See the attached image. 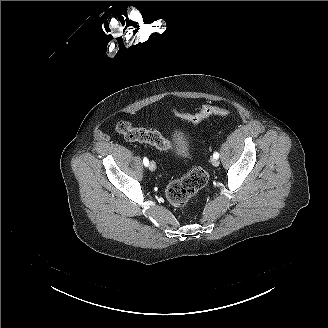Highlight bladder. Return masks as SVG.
<instances>
[{
  "instance_id": "bladder-1",
  "label": "bladder",
  "mask_w": 328,
  "mask_h": 328,
  "mask_svg": "<svg viewBox=\"0 0 328 328\" xmlns=\"http://www.w3.org/2000/svg\"><path fill=\"white\" fill-rule=\"evenodd\" d=\"M189 144V142H188V139L187 138H185V137H178V143H177V145H176V147H175V150L177 151V152H183V147L184 146H186V145H188Z\"/></svg>"
}]
</instances>
